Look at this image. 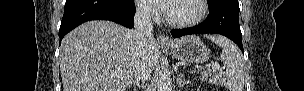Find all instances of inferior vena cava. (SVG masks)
<instances>
[{"instance_id": "602c4592", "label": "inferior vena cava", "mask_w": 304, "mask_h": 91, "mask_svg": "<svg viewBox=\"0 0 304 91\" xmlns=\"http://www.w3.org/2000/svg\"><path fill=\"white\" fill-rule=\"evenodd\" d=\"M153 24L150 10L137 6L134 16V30L132 36L135 40L137 60L134 67L135 81L144 83L152 72V65L148 59L149 44L154 40Z\"/></svg>"}]
</instances>
